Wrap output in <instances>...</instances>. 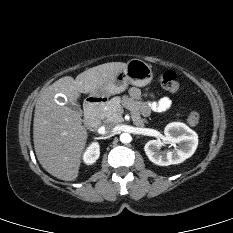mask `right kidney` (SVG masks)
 I'll return each instance as SVG.
<instances>
[{
	"mask_svg": "<svg viewBox=\"0 0 233 233\" xmlns=\"http://www.w3.org/2000/svg\"><path fill=\"white\" fill-rule=\"evenodd\" d=\"M100 155V147L98 142H92L86 149L83 160L86 164L90 165L96 162Z\"/></svg>",
	"mask_w": 233,
	"mask_h": 233,
	"instance_id": "obj_1",
	"label": "right kidney"
}]
</instances>
